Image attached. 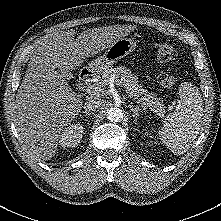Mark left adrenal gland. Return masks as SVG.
Segmentation results:
<instances>
[{
    "instance_id": "left-adrenal-gland-1",
    "label": "left adrenal gland",
    "mask_w": 221,
    "mask_h": 221,
    "mask_svg": "<svg viewBox=\"0 0 221 221\" xmlns=\"http://www.w3.org/2000/svg\"><path fill=\"white\" fill-rule=\"evenodd\" d=\"M128 107H129L130 110L133 112V117H134L135 121L137 122L141 108L138 107V106H136V107L133 106L132 103H130V104L128 105Z\"/></svg>"
}]
</instances>
